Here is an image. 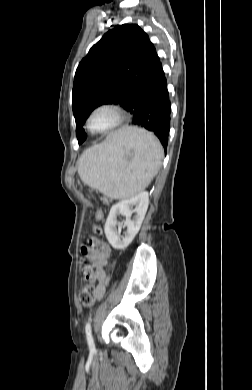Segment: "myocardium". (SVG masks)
Masks as SVG:
<instances>
[{
	"label": "myocardium",
	"mask_w": 252,
	"mask_h": 390,
	"mask_svg": "<svg viewBox=\"0 0 252 390\" xmlns=\"http://www.w3.org/2000/svg\"><path fill=\"white\" fill-rule=\"evenodd\" d=\"M101 111L109 112L113 116V120L108 127L104 129H96L92 126V119L95 116V114ZM125 118H126V112L121 106L116 104H101L96 106L89 114L87 119V126L89 130L93 133L107 134L120 127L125 121Z\"/></svg>",
	"instance_id": "f54148a6"
}]
</instances>
